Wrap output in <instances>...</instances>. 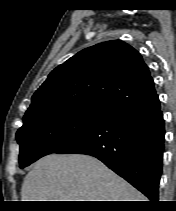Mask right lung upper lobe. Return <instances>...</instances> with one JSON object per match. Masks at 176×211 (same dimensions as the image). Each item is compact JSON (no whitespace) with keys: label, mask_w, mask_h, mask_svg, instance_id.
Segmentation results:
<instances>
[{"label":"right lung upper lobe","mask_w":176,"mask_h":211,"mask_svg":"<svg viewBox=\"0 0 176 211\" xmlns=\"http://www.w3.org/2000/svg\"><path fill=\"white\" fill-rule=\"evenodd\" d=\"M156 95L139 52L112 40L86 48L56 67L34 93L25 116L45 109L107 116Z\"/></svg>","instance_id":"cb5924a9"}]
</instances>
